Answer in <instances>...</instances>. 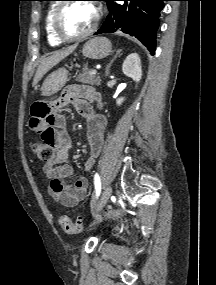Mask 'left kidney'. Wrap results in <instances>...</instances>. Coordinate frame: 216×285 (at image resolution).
Listing matches in <instances>:
<instances>
[{
	"mask_svg": "<svg viewBox=\"0 0 216 285\" xmlns=\"http://www.w3.org/2000/svg\"><path fill=\"white\" fill-rule=\"evenodd\" d=\"M122 71L123 73L132 78L135 82H139L142 77V68H141V61L140 57L137 53H131L129 54L123 65H122ZM124 101L123 97H120L116 100V103L118 106H120Z\"/></svg>",
	"mask_w": 216,
	"mask_h": 285,
	"instance_id": "left-kidney-1",
	"label": "left kidney"
}]
</instances>
